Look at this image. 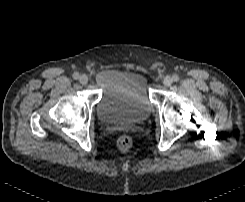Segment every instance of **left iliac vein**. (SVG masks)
Masks as SVG:
<instances>
[{"mask_svg":"<svg viewBox=\"0 0 245 202\" xmlns=\"http://www.w3.org/2000/svg\"><path fill=\"white\" fill-rule=\"evenodd\" d=\"M173 80L170 76H166L163 80V83L165 86H170L172 84Z\"/></svg>","mask_w":245,"mask_h":202,"instance_id":"1","label":"left iliac vein"}]
</instances>
